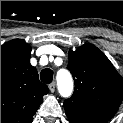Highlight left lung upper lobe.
Masks as SVG:
<instances>
[{
    "label": "left lung upper lobe",
    "instance_id": "1",
    "mask_svg": "<svg viewBox=\"0 0 123 123\" xmlns=\"http://www.w3.org/2000/svg\"><path fill=\"white\" fill-rule=\"evenodd\" d=\"M75 81L71 98L64 101L66 114L82 113L104 121L117 112L123 99V78L94 45L69 52L67 67Z\"/></svg>",
    "mask_w": 123,
    "mask_h": 123
}]
</instances>
